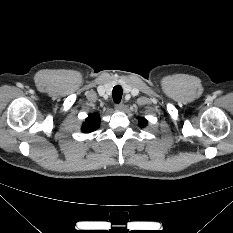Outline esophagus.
Here are the masks:
<instances>
[{
  "mask_svg": "<svg viewBox=\"0 0 233 233\" xmlns=\"http://www.w3.org/2000/svg\"><path fill=\"white\" fill-rule=\"evenodd\" d=\"M124 107V104L121 102V103H118V104H115V109L117 110H122Z\"/></svg>",
  "mask_w": 233,
  "mask_h": 233,
  "instance_id": "1",
  "label": "esophagus"
}]
</instances>
